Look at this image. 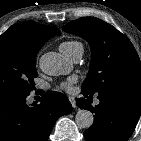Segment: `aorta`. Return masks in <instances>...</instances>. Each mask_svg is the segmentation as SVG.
Wrapping results in <instances>:
<instances>
[{
  "label": "aorta",
  "instance_id": "aorta-1",
  "mask_svg": "<svg viewBox=\"0 0 141 141\" xmlns=\"http://www.w3.org/2000/svg\"><path fill=\"white\" fill-rule=\"evenodd\" d=\"M40 69L47 75L58 76L69 71V66L58 53L47 52L40 57ZM94 121L93 114L86 109H80L75 116L78 127L88 129Z\"/></svg>",
  "mask_w": 141,
  "mask_h": 141
}]
</instances>
